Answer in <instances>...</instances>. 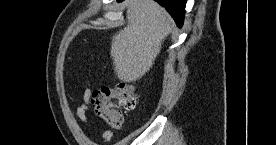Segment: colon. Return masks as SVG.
<instances>
[{"mask_svg":"<svg viewBox=\"0 0 276 145\" xmlns=\"http://www.w3.org/2000/svg\"><path fill=\"white\" fill-rule=\"evenodd\" d=\"M138 94L131 85L119 83L112 87L93 90L91 101L97 117L107 126L121 128L125 114L138 104Z\"/></svg>","mask_w":276,"mask_h":145,"instance_id":"1","label":"colon"}]
</instances>
